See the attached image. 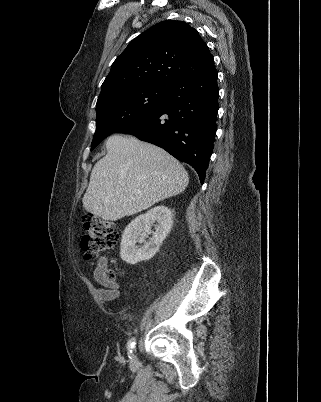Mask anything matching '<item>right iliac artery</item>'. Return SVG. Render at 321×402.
I'll list each match as a JSON object with an SVG mask.
<instances>
[{
    "label": "right iliac artery",
    "instance_id": "right-iliac-artery-1",
    "mask_svg": "<svg viewBox=\"0 0 321 402\" xmlns=\"http://www.w3.org/2000/svg\"><path fill=\"white\" fill-rule=\"evenodd\" d=\"M135 341H136L135 338H131L127 343V349H128L129 357H131V355L133 353V349H134V346H135Z\"/></svg>",
    "mask_w": 321,
    "mask_h": 402
}]
</instances>
